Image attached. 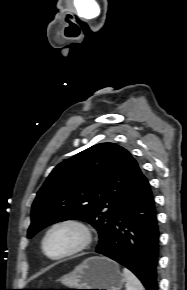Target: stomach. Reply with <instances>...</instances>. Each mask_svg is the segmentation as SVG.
<instances>
[{
    "label": "stomach",
    "instance_id": "obj_1",
    "mask_svg": "<svg viewBox=\"0 0 187 290\" xmlns=\"http://www.w3.org/2000/svg\"><path fill=\"white\" fill-rule=\"evenodd\" d=\"M60 281L71 289L121 290L126 279L117 263L107 257L93 256L62 276Z\"/></svg>",
    "mask_w": 187,
    "mask_h": 290
}]
</instances>
